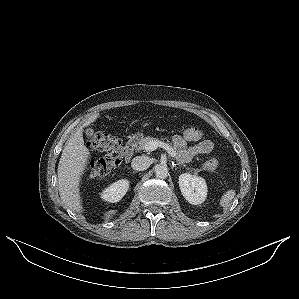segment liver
<instances>
[{"instance_id": "liver-1", "label": "liver", "mask_w": 299, "mask_h": 299, "mask_svg": "<svg viewBox=\"0 0 299 299\" xmlns=\"http://www.w3.org/2000/svg\"><path fill=\"white\" fill-rule=\"evenodd\" d=\"M99 114L90 116L77 129L62 151L58 164V188L60 198L66 208L81 214L83 212L80 197V180L90 159V152L84 145L83 127L93 123Z\"/></svg>"}]
</instances>
